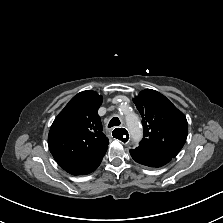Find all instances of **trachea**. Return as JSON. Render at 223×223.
<instances>
[{
  "label": "trachea",
  "mask_w": 223,
  "mask_h": 223,
  "mask_svg": "<svg viewBox=\"0 0 223 223\" xmlns=\"http://www.w3.org/2000/svg\"><path fill=\"white\" fill-rule=\"evenodd\" d=\"M120 125V120L117 117H114L111 119V121L108 124V128L114 127V126H119ZM113 135V133H112Z\"/></svg>",
  "instance_id": "trachea-1"
}]
</instances>
